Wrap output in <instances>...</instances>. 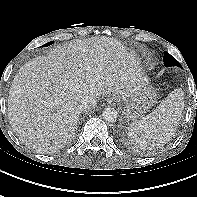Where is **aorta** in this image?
Segmentation results:
<instances>
[{"mask_svg":"<svg viewBox=\"0 0 197 197\" xmlns=\"http://www.w3.org/2000/svg\"><path fill=\"white\" fill-rule=\"evenodd\" d=\"M102 117L105 121L110 122V123H114L117 120L118 117V113L114 108H105L103 113H102Z\"/></svg>","mask_w":197,"mask_h":197,"instance_id":"762f6f07","label":"aorta"}]
</instances>
